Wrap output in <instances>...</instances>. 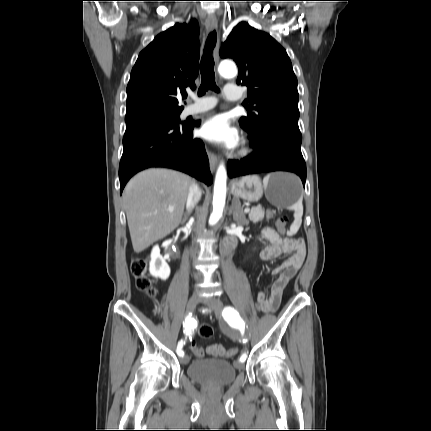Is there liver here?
Masks as SVG:
<instances>
[{
  "label": "liver",
  "mask_w": 431,
  "mask_h": 431,
  "mask_svg": "<svg viewBox=\"0 0 431 431\" xmlns=\"http://www.w3.org/2000/svg\"><path fill=\"white\" fill-rule=\"evenodd\" d=\"M191 178L169 169H148L126 185L123 202L133 249L142 252L180 224ZM169 208H173L171 213Z\"/></svg>",
  "instance_id": "6515ba94"
}]
</instances>
